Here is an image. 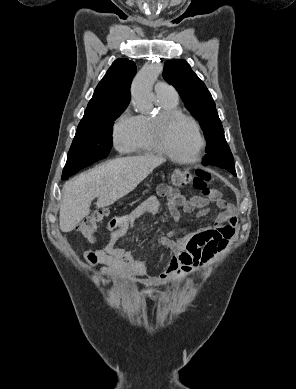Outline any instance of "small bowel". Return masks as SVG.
<instances>
[{
  "instance_id": "obj_1",
  "label": "small bowel",
  "mask_w": 296,
  "mask_h": 389,
  "mask_svg": "<svg viewBox=\"0 0 296 389\" xmlns=\"http://www.w3.org/2000/svg\"><path fill=\"white\" fill-rule=\"evenodd\" d=\"M166 197L170 213L175 220L180 218V209L185 213H197L202 217L207 214L209 200L216 202L222 212L212 226L201 228L195 232L175 237L170 231L160 239V244L172 252L166 267L161 275L163 281L185 277L199 268L205 267L214 256L223 251L237 230L236 208L221 199L217 194L210 199L193 196L186 199L177 189L162 185L157 195L146 199L143 204L130 214L109 221L107 229L111 231L103 248L87 252L85 258L93 265L100 266L105 271H113L122 275L135 268L131 255L124 248L117 246V242L132 228L134 222L143 213L155 214L159 210V198Z\"/></svg>"
}]
</instances>
